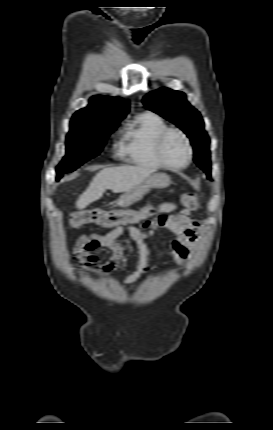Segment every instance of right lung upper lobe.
<instances>
[{
  "label": "right lung upper lobe",
  "mask_w": 273,
  "mask_h": 430,
  "mask_svg": "<svg viewBox=\"0 0 273 430\" xmlns=\"http://www.w3.org/2000/svg\"><path fill=\"white\" fill-rule=\"evenodd\" d=\"M128 111V101L118 97L93 96L89 105L77 111L73 118L96 122H120Z\"/></svg>",
  "instance_id": "1"
}]
</instances>
